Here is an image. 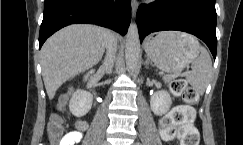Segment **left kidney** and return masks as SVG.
<instances>
[{
    "label": "left kidney",
    "instance_id": "obj_1",
    "mask_svg": "<svg viewBox=\"0 0 243 145\" xmlns=\"http://www.w3.org/2000/svg\"><path fill=\"white\" fill-rule=\"evenodd\" d=\"M171 104V96L165 90L154 93L150 99L151 110L157 116H162L166 114L170 109Z\"/></svg>",
    "mask_w": 243,
    "mask_h": 145
}]
</instances>
